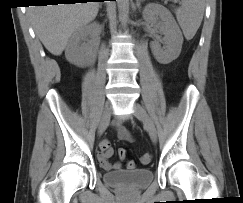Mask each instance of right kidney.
<instances>
[{"instance_id": "ca27d5eb", "label": "right kidney", "mask_w": 243, "mask_h": 203, "mask_svg": "<svg viewBox=\"0 0 243 203\" xmlns=\"http://www.w3.org/2000/svg\"><path fill=\"white\" fill-rule=\"evenodd\" d=\"M99 25L92 23L78 28L70 37L66 50V59L78 66L84 67L92 63L95 59V49L90 43H86V37L96 31Z\"/></svg>"}]
</instances>
